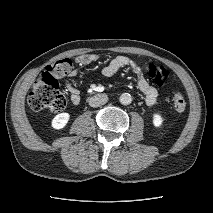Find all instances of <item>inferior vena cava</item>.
Returning <instances> with one entry per match:
<instances>
[{"label":"inferior vena cava","mask_w":213,"mask_h":213,"mask_svg":"<svg viewBox=\"0 0 213 213\" xmlns=\"http://www.w3.org/2000/svg\"><path fill=\"white\" fill-rule=\"evenodd\" d=\"M108 101V96L106 94H97L88 99V103L91 107H99L104 105Z\"/></svg>","instance_id":"1"}]
</instances>
